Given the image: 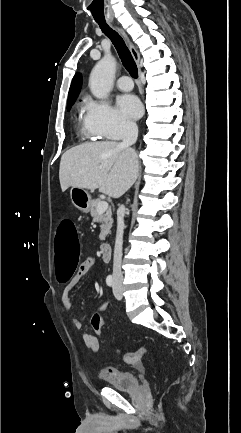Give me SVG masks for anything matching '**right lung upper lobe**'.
Wrapping results in <instances>:
<instances>
[{"label":"right lung upper lobe","mask_w":241,"mask_h":433,"mask_svg":"<svg viewBox=\"0 0 241 433\" xmlns=\"http://www.w3.org/2000/svg\"><path fill=\"white\" fill-rule=\"evenodd\" d=\"M81 83L82 79L80 74L75 75L69 90L68 105H72L74 103L76 97L80 92Z\"/></svg>","instance_id":"obj_1"}]
</instances>
